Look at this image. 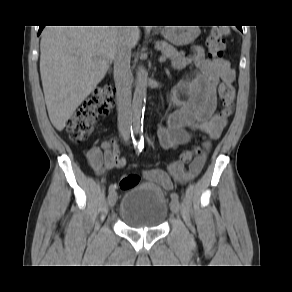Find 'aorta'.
I'll use <instances>...</instances> for the list:
<instances>
[{"label": "aorta", "mask_w": 292, "mask_h": 292, "mask_svg": "<svg viewBox=\"0 0 292 292\" xmlns=\"http://www.w3.org/2000/svg\"><path fill=\"white\" fill-rule=\"evenodd\" d=\"M147 97V73L139 67L136 76L135 90L131 108V131L135 140L139 142L143 128V118Z\"/></svg>", "instance_id": "aorta-1"}]
</instances>
